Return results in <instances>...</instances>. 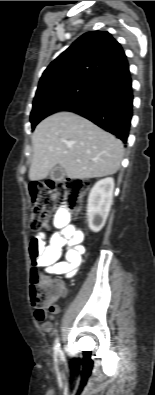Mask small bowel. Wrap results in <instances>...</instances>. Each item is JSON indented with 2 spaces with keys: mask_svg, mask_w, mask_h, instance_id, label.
Here are the masks:
<instances>
[{
  "mask_svg": "<svg viewBox=\"0 0 155 395\" xmlns=\"http://www.w3.org/2000/svg\"><path fill=\"white\" fill-rule=\"evenodd\" d=\"M53 225L57 229L49 237L40 233L38 237H31L28 242L27 260H31L34 270H45L49 274L72 276L82 263L84 254L83 233L76 229L71 223L70 214L67 210L60 208L56 212ZM65 252V260L60 261ZM51 316L59 312L56 307L50 311ZM35 318L41 324L44 331H51L53 324L48 321L47 310H35Z\"/></svg>",
  "mask_w": 155,
  "mask_h": 395,
  "instance_id": "c3829d8e",
  "label": "small bowel"
}]
</instances>
